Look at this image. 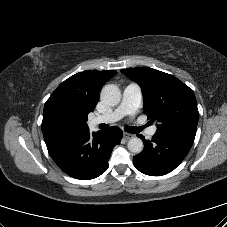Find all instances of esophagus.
Here are the masks:
<instances>
[{
  "mask_svg": "<svg viewBox=\"0 0 227 227\" xmlns=\"http://www.w3.org/2000/svg\"><path fill=\"white\" fill-rule=\"evenodd\" d=\"M123 137H124L126 140H129V139L133 138L134 135L131 134V133L124 132V133H123Z\"/></svg>",
  "mask_w": 227,
  "mask_h": 227,
  "instance_id": "34e87169",
  "label": "esophagus"
}]
</instances>
